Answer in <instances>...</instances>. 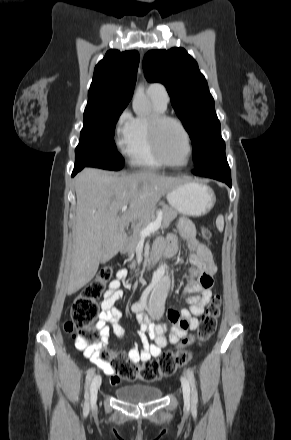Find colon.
<instances>
[{
	"instance_id": "5ec220e1",
	"label": "colon",
	"mask_w": 291,
	"mask_h": 440,
	"mask_svg": "<svg viewBox=\"0 0 291 440\" xmlns=\"http://www.w3.org/2000/svg\"><path fill=\"white\" fill-rule=\"evenodd\" d=\"M202 235L210 240L211 233L207 228L202 229ZM113 276V268L104 265L100 268L96 278L91 281L82 292L75 298L71 310L70 319L65 323V330L73 333L76 340L83 342L87 347H97L99 344L98 330L94 329L93 322L98 314L96 300L104 293L106 284ZM210 286V282H207ZM221 296H212L207 309L200 321V329L197 339L201 342L210 338L217 328L220 315ZM172 324H177L175 316L170 317ZM183 325L189 321L183 320ZM189 339L185 341L187 343ZM99 359L109 362L114 372L126 380H141L143 382H156L164 377L174 374L180 367L189 363L192 358L190 352L184 349L167 351L159 355L157 360H149L141 365L129 361L126 357L116 355L108 346L97 349Z\"/></svg>"
}]
</instances>
